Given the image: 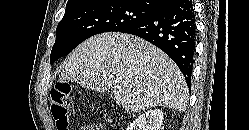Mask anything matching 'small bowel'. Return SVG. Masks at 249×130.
Here are the masks:
<instances>
[{
  "label": "small bowel",
  "mask_w": 249,
  "mask_h": 130,
  "mask_svg": "<svg viewBox=\"0 0 249 130\" xmlns=\"http://www.w3.org/2000/svg\"><path fill=\"white\" fill-rule=\"evenodd\" d=\"M81 130H105L103 124H88L81 128Z\"/></svg>",
  "instance_id": "obj_1"
}]
</instances>
